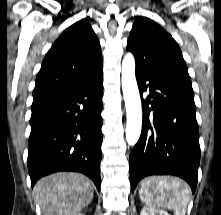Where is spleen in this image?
Here are the masks:
<instances>
[{
  "mask_svg": "<svg viewBox=\"0 0 221 215\" xmlns=\"http://www.w3.org/2000/svg\"><path fill=\"white\" fill-rule=\"evenodd\" d=\"M190 193L183 180L166 176L145 179L139 190L140 199L146 205L173 210L174 215H185Z\"/></svg>",
  "mask_w": 221,
  "mask_h": 215,
  "instance_id": "spleen-1",
  "label": "spleen"
}]
</instances>
